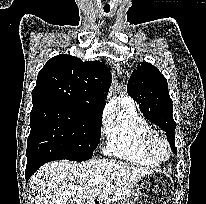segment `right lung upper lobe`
Wrapping results in <instances>:
<instances>
[{
  "instance_id": "obj_1",
  "label": "right lung upper lobe",
  "mask_w": 206,
  "mask_h": 204,
  "mask_svg": "<svg viewBox=\"0 0 206 204\" xmlns=\"http://www.w3.org/2000/svg\"><path fill=\"white\" fill-rule=\"evenodd\" d=\"M110 82L111 73L105 64L58 55L39 71L32 102L61 103L103 112Z\"/></svg>"
}]
</instances>
